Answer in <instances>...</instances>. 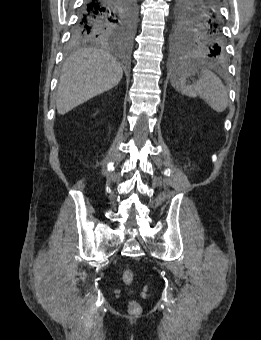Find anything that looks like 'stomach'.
<instances>
[{"label": "stomach", "mask_w": 261, "mask_h": 340, "mask_svg": "<svg viewBox=\"0 0 261 340\" xmlns=\"http://www.w3.org/2000/svg\"><path fill=\"white\" fill-rule=\"evenodd\" d=\"M192 62H188L186 64L178 65L172 73V77L178 79L180 78L185 72L189 73V76L194 75L196 69L192 66Z\"/></svg>", "instance_id": "obj_1"}]
</instances>
